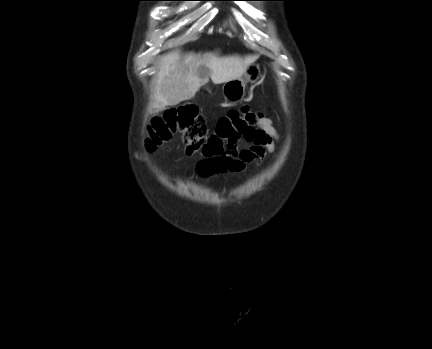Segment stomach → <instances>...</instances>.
I'll list each match as a JSON object with an SVG mask.
<instances>
[{
    "label": "stomach",
    "instance_id": "0dacf381",
    "mask_svg": "<svg viewBox=\"0 0 432 349\" xmlns=\"http://www.w3.org/2000/svg\"><path fill=\"white\" fill-rule=\"evenodd\" d=\"M261 76L259 65L249 66L243 77L236 78L224 83L222 92L225 100L230 103L240 102L245 96V87L248 82H256Z\"/></svg>",
    "mask_w": 432,
    "mask_h": 349
}]
</instances>
